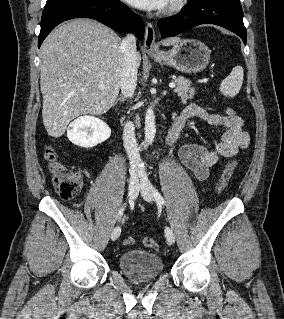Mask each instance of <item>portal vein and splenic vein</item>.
<instances>
[{"instance_id":"18ae733b","label":"portal vein and splenic vein","mask_w":284,"mask_h":319,"mask_svg":"<svg viewBox=\"0 0 284 319\" xmlns=\"http://www.w3.org/2000/svg\"><path fill=\"white\" fill-rule=\"evenodd\" d=\"M104 87H105L104 84H99V88H104ZM169 87H170V88H175V87H176V84H175L174 82H171V83L169 84Z\"/></svg>"}]
</instances>
